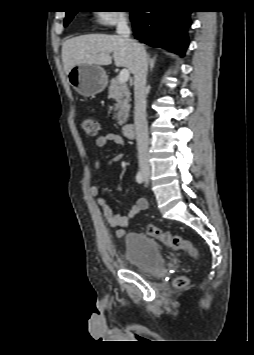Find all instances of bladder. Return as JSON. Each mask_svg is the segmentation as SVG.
<instances>
[{
	"label": "bladder",
	"mask_w": 254,
	"mask_h": 355,
	"mask_svg": "<svg viewBox=\"0 0 254 355\" xmlns=\"http://www.w3.org/2000/svg\"><path fill=\"white\" fill-rule=\"evenodd\" d=\"M125 245V260L132 267L150 273L164 269L162 248L153 238L130 232L125 236Z\"/></svg>",
	"instance_id": "obj_1"
}]
</instances>
